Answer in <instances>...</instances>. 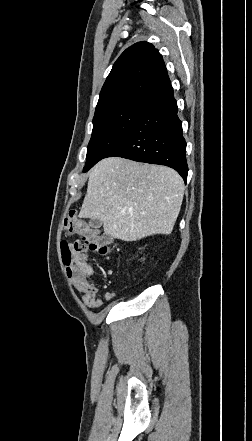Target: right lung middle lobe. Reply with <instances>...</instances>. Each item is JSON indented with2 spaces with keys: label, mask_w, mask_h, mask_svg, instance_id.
<instances>
[{
  "label": "right lung middle lobe",
  "mask_w": 252,
  "mask_h": 441,
  "mask_svg": "<svg viewBox=\"0 0 252 441\" xmlns=\"http://www.w3.org/2000/svg\"><path fill=\"white\" fill-rule=\"evenodd\" d=\"M145 99L132 100L95 113L92 136L87 148L84 172L116 147L137 123Z\"/></svg>",
  "instance_id": "1"
}]
</instances>
